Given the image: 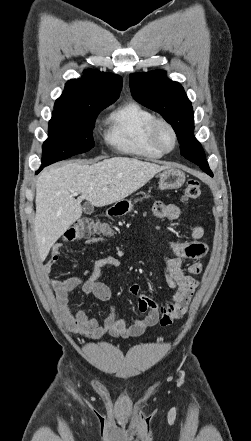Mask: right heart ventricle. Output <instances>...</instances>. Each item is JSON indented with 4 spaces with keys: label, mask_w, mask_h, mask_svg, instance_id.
Instances as JSON below:
<instances>
[{
    "label": "right heart ventricle",
    "mask_w": 251,
    "mask_h": 441,
    "mask_svg": "<svg viewBox=\"0 0 251 441\" xmlns=\"http://www.w3.org/2000/svg\"><path fill=\"white\" fill-rule=\"evenodd\" d=\"M156 116L136 101L116 107L107 119L105 141L116 151L146 159H160L163 153L150 142L149 130Z\"/></svg>",
    "instance_id": "1"
}]
</instances>
